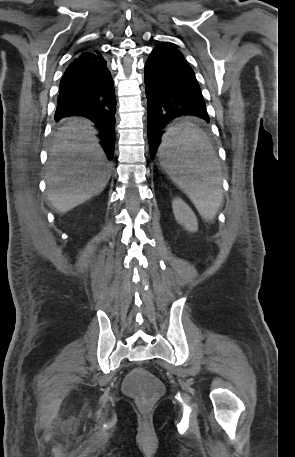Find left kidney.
Masks as SVG:
<instances>
[{
    "label": "left kidney",
    "mask_w": 295,
    "mask_h": 457,
    "mask_svg": "<svg viewBox=\"0 0 295 457\" xmlns=\"http://www.w3.org/2000/svg\"><path fill=\"white\" fill-rule=\"evenodd\" d=\"M173 213L179 224L190 232L198 230V222L195 214L189 206L180 198H175L172 202Z\"/></svg>",
    "instance_id": "5707ae66"
}]
</instances>
